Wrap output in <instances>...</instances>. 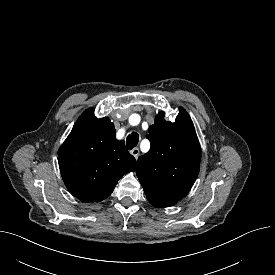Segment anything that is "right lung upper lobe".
<instances>
[{"label":"right lung upper lobe","mask_w":275,"mask_h":275,"mask_svg":"<svg viewBox=\"0 0 275 275\" xmlns=\"http://www.w3.org/2000/svg\"><path fill=\"white\" fill-rule=\"evenodd\" d=\"M93 111L90 108L78 118L58 151L63 181L82 202L107 198L118 180L137 165L124 141L115 138L110 119H97Z\"/></svg>","instance_id":"right-lung-upper-lobe-1"}]
</instances>
